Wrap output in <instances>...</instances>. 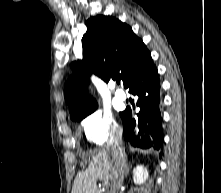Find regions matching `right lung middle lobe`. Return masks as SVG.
I'll return each mask as SVG.
<instances>
[{
  "mask_svg": "<svg viewBox=\"0 0 221 193\" xmlns=\"http://www.w3.org/2000/svg\"><path fill=\"white\" fill-rule=\"evenodd\" d=\"M90 113H92V112H90ZM90 113H88V114H86V115H84V116H77V117H75L74 118V120H82L83 118H85L87 115H89ZM122 113H120V115H121Z\"/></svg>",
  "mask_w": 221,
  "mask_h": 193,
  "instance_id": "obj_1",
  "label": "right lung middle lobe"
}]
</instances>
